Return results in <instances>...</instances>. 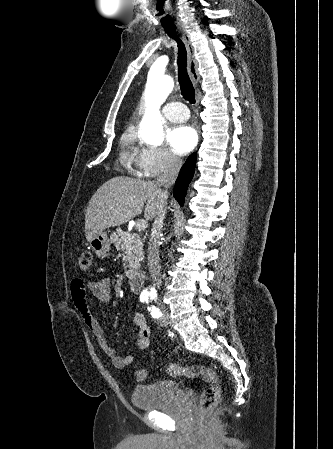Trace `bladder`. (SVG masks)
<instances>
[{
  "instance_id": "1",
  "label": "bladder",
  "mask_w": 333,
  "mask_h": 449,
  "mask_svg": "<svg viewBox=\"0 0 333 449\" xmlns=\"http://www.w3.org/2000/svg\"><path fill=\"white\" fill-rule=\"evenodd\" d=\"M181 393L182 388L178 382L162 380L136 386L132 392V403L141 410L163 409L172 406Z\"/></svg>"
}]
</instances>
